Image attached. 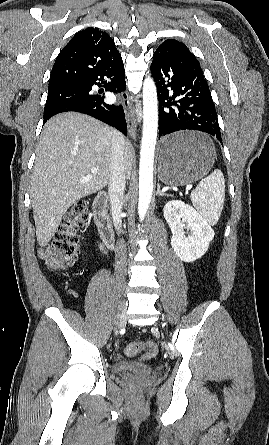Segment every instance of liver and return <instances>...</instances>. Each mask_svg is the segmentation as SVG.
Segmentation results:
<instances>
[{"label": "liver", "mask_w": 269, "mask_h": 445, "mask_svg": "<svg viewBox=\"0 0 269 445\" xmlns=\"http://www.w3.org/2000/svg\"><path fill=\"white\" fill-rule=\"evenodd\" d=\"M113 131L76 112L56 115L45 124L31 176L33 216L40 246L52 239L73 204L109 184ZM124 163L129 177L134 163L129 141L124 145ZM93 167L97 173L91 172Z\"/></svg>", "instance_id": "liver-1"}]
</instances>
